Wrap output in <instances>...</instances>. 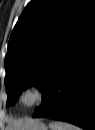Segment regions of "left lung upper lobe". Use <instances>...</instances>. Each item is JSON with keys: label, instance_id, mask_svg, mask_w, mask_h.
Masks as SVG:
<instances>
[{"label": "left lung upper lobe", "instance_id": "left-lung-upper-lobe-1", "mask_svg": "<svg viewBox=\"0 0 95 130\" xmlns=\"http://www.w3.org/2000/svg\"><path fill=\"white\" fill-rule=\"evenodd\" d=\"M94 13L93 0H32L26 6L10 36L4 62L7 106L29 86L44 93L57 63Z\"/></svg>", "mask_w": 95, "mask_h": 130}]
</instances>
